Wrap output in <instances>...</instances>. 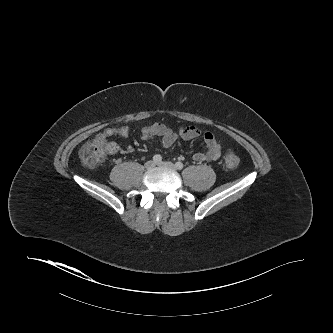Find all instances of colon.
Here are the masks:
<instances>
[{
    "label": "colon",
    "instance_id": "5ec220e1",
    "mask_svg": "<svg viewBox=\"0 0 333 333\" xmlns=\"http://www.w3.org/2000/svg\"><path fill=\"white\" fill-rule=\"evenodd\" d=\"M109 144L103 139H95L83 145L79 151V158L87 166L99 165L109 153ZM224 163L228 168H236L240 159L234 152H227L224 156Z\"/></svg>",
    "mask_w": 333,
    "mask_h": 333
}]
</instances>
